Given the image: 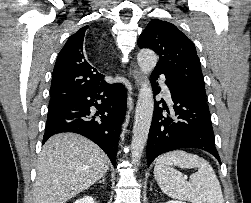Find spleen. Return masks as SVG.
I'll use <instances>...</instances> for the list:
<instances>
[{"label": "spleen", "instance_id": "3e777b00", "mask_svg": "<svg viewBox=\"0 0 251 203\" xmlns=\"http://www.w3.org/2000/svg\"><path fill=\"white\" fill-rule=\"evenodd\" d=\"M181 168H198V172L186 181ZM154 177L162 192L167 196L192 203H224L218 178L212 166L203 158L175 150L161 155L154 167Z\"/></svg>", "mask_w": 251, "mask_h": 203}]
</instances>
